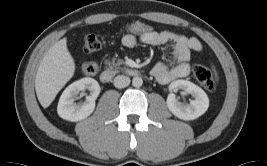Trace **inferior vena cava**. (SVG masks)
Returning <instances> with one entry per match:
<instances>
[{"mask_svg":"<svg viewBox=\"0 0 267 166\" xmlns=\"http://www.w3.org/2000/svg\"><path fill=\"white\" fill-rule=\"evenodd\" d=\"M113 84L116 88H124L130 84V79L124 75H118L114 78Z\"/></svg>","mask_w":267,"mask_h":166,"instance_id":"602c4592","label":"inferior vena cava"}]
</instances>
